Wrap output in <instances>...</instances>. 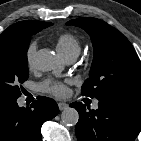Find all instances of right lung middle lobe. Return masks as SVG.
Returning <instances> with one entry per match:
<instances>
[{"instance_id": "dd1d6c3e", "label": "right lung middle lobe", "mask_w": 141, "mask_h": 141, "mask_svg": "<svg viewBox=\"0 0 141 141\" xmlns=\"http://www.w3.org/2000/svg\"><path fill=\"white\" fill-rule=\"evenodd\" d=\"M51 25L45 22L14 37L0 39V102L16 100L21 96L23 88L20 84L29 76L27 50L31 36Z\"/></svg>"}]
</instances>
